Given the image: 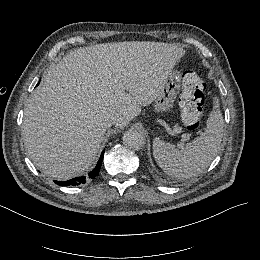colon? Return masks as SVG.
<instances>
[{
  "mask_svg": "<svg viewBox=\"0 0 260 260\" xmlns=\"http://www.w3.org/2000/svg\"><path fill=\"white\" fill-rule=\"evenodd\" d=\"M205 90V81L195 72L189 71L183 76L178 102L182 122L187 131H195L201 125Z\"/></svg>",
  "mask_w": 260,
  "mask_h": 260,
  "instance_id": "colon-1",
  "label": "colon"
}]
</instances>
